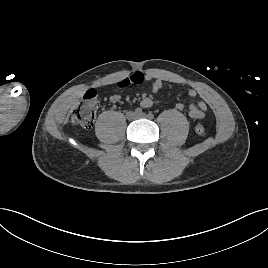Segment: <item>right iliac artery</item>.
<instances>
[{
	"label": "right iliac artery",
	"mask_w": 268,
	"mask_h": 268,
	"mask_svg": "<svg viewBox=\"0 0 268 268\" xmlns=\"http://www.w3.org/2000/svg\"><path fill=\"white\" fill-rule=\"evenodd\" d=\"M135 113H136V114H142V109L139 108V107L136 108V109H135Z\"/></svg>",
	"instance_id": "obj_1"
}]
</instances>
